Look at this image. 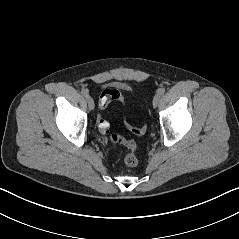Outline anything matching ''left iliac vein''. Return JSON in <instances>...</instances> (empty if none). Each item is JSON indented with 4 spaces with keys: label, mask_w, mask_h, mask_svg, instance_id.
<instances>
[{
    "label": "left iliac vein",
    "mask_w": 239,
    "mask_h": 239,
    "mask_svg": "<svg viewBox=\"0 0 239 239\" xmlns=\"http://www.w3.org/2000/svg\"><path fill=\"white\" fill-rule=\"evenodd\" d=\"M160 101V95L157 93L154 98H153V107H157V105L159 104Z\"/></svg>",
    "instance_id": "obj_1"
}]
</instances>
